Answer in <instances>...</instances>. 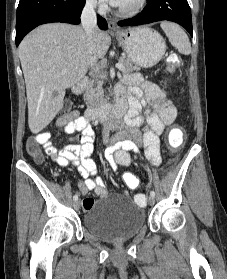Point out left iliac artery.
Segmentation results:
<instances>
[{
    "label": "left iliac artery",
    "mask_w": 227,
    "mask_h": 279,
    "mask_svg": "<svg viewBox=\"0 0 227 279\" xmlns=\"http://www.w3.org/2000/svg\"><path fill=\"white\" fill-rule=\"evenodd\" d=\"M150 195L154 197V196H155V192L152 190V191L150 192Z\"/></svg>",
    "instance_id": "left-iliac-artery-1"
}]
</instances>
